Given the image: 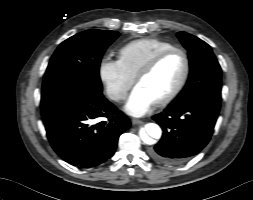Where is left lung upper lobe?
Masks as SVG:
<instances>
[{"label":"left lung upper lobe","instance_id":"left-lung-upper-lobe-1","mask_svg":"<svg viewBox=\"0 0 253 200\" xmlns=\"http://www.w3.org/2000/svg\"><path fill=\"white\" fill-rule=\"evenodd\" d=\"M177 36L188 51L190 75L173 103H187L203 94L221 95V68L211 47L186 32H179Z\"/></svg>","mask_w":253,"mask_h":200}]
</instances>
